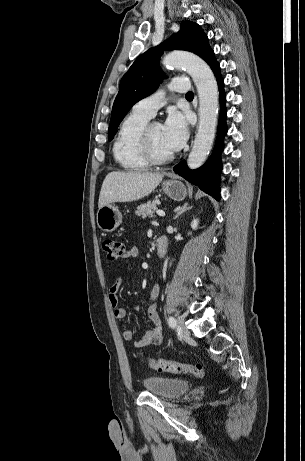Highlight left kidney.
I'll return each mask as SVG.
<instances>
[{
    "instance_id": "1",
    "label": "left kidney",
    "mask_w": 305,
    "mask_h": 461,
    "mask_svg": "<svg viewBox=\"0 0 305 461\" xmlns=\"http://www.w3.org/2000/svg\"><path fill=\"white\" fill-rule=\"evenodd\" d=\"M198 223H199V220L198 219H194L191 223V227L192 229L196 230L197 227H198Z\"/></svg>"
}]
</instances>
